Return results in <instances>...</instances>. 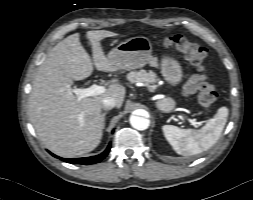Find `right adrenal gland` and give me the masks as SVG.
Instances as JSON below:
<instances>
[{
  "label": "right adrenal gland",
  "instance_id": "obj_1",
  "mask_svg": "<svg viewBox=\"0 0 253 200\" xmlns=\"http://www.w3.org/2000/svg\"><path fill=\"white\" fill-rule=\"evenodd\" d=\"M106 114H107V112H104V113L102 114V129L105 128V117H106Z\"/></svg>",
  "mask_w": 253,
  "mask_h": 200
}]
</instances>
